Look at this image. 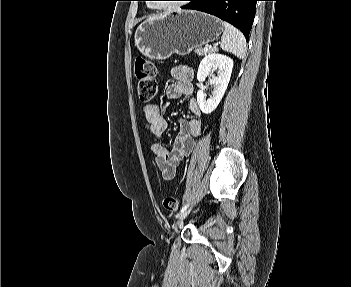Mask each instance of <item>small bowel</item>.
<instances>
[{"mask_svg":"<svg viewBox=\"0 0 351 287\" xmlns=\"http://www.w3.org/2000/svg\"><path fill=\"white\" fill-rule=\"evenodd\" d=\"M171 75L175 82L167 87L166 96L189 98L188 109L192 114L189 119L180 121V130L171 148L159 139L167 128L164 109L157 103L147 104L143 109L145 128L157 138L151 145L155 162L167 180L174 178L185 157L193 151L195 138L201 132V111L193 98V71L187 66H177L172 68Z\"/></svg>","mask_w":351,"mask_h":287,"instance_id":"small-bowel-1","label":"small bowel"}]
</instances>
